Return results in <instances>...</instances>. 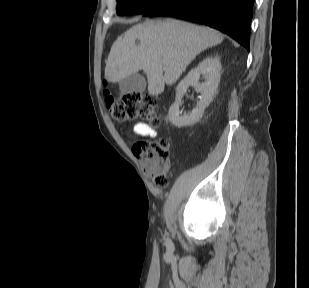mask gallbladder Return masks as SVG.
<instances>
[{
    "label": "gallbladder",
    "mask_w": 309,
    "mask_h": 288,
    "mask_svg": "<svg viewBox=\"0 0 309 288\" xmlns=\"http://www.w3.org/2000/svg\"><path fill=\"white\" fill-rule=\"evenodd\" d=\"M119 89L122 94H129L133 92L141 93L146 89V80L138 73L131 74L119 82Z\"/></svg>",
    "instance_id": "obj_1"
}]
</instances>
